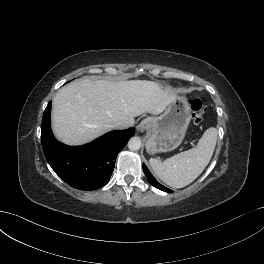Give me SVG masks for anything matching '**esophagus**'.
I'll list each match as a JSON object with an SVG mask.
<instances>
[{"label": "esophagus", "mask_w": 264, "mask_h": 264, "mask_svg": "<svg viewBox=\"0 0 264 264\" xmlns=\"http://www.w3.org/2000/svg\"><path fill=\"white\" fill-rule=\"evenodd\" d=\"M148 122L147 120H143L138 126H137V130L140 132H143L145 129H147L148 127Z\"/></svg>", "instance_id": "1"}]
</instances>
